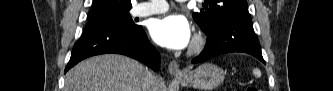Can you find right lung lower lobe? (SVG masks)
Returning <instances> with one entry per match:
<instances>
[{
	"label": "right lung lower lobe",
	"mask_w": 333,
	"mask_h": 91,
	"mask_svg": "<svg viewBox=\"0 0 333 91\" xmlns=\"http://www.w3.org/2000/svg\"><path fill=\"white\" fill-rule=\"evenodd\" d=\"M106 53L123 54L140 60L155 71L160 66L159 53L149 42L142 27L86 25L83 35L74 45L65 72L85 58Z\"/></svg>",
	"instance_id": "obj_1"
}]
</instances>
